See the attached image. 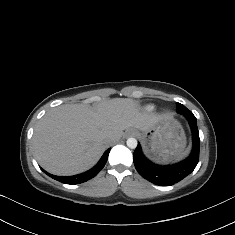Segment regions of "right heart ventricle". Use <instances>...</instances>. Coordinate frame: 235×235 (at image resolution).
Returning a JSON list of instances; mask_svg holds the SVG:
<instances>
[{
	"label": "right heart ventricle",
	"instance_id": "obj_1",
	"mask_svg": "<svg viewBox=\"0 0 235 235\" xmlns=\"http://www.w3.org/2000/svg\"><path fill=\"white\" fill-rule=\"evenodd\" d=\"M126 101L117 100L110 106V111L114 114L122 113L126 108ZM149 111L153 110V107L148 108Z\"/></svg>",
	"mask_w": 235,
	"mask_h": 235
}]
</instances>
